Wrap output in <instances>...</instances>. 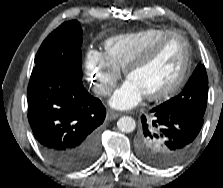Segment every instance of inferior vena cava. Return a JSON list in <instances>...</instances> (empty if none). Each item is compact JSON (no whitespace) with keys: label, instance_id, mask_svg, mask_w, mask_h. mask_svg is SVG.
<instances>
[{"label":"inferior vena cava","instance_id":"inferior-vena-cava-1","mask_svg":"<svg viewBox=\"0 0 223 188\" xmlns=\"http://www.w3.org/2000/svg\"><path fill=\"white\" fill-rule=\"evenodd\" d=\"M92 91L97 95H109L112 92V89L102 84H96L93 86Z\"/></svg>","mask_w":223,"mask_h":188}]
</instances>
